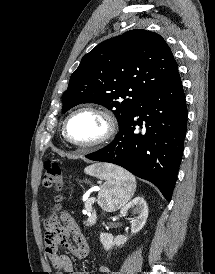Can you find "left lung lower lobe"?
Masks as SVG:
<instances>
[{
    "mask_svg": "<svg viewBox=\"0 0 215 274\" xmlns=\"http://www.w3.org/2000/svg\"><path fill=\"white\" fill-rule=\"evenodd\" d=\"M187 107L177 72L152 91L119 127L114 141L86 155L94 161L119 165L155 184L171 200L182 159Z\"/></svg>",
    "mask_w": 215,
    "mask_h": 274,
    "instance_id": "obj_1",
    "label": "left lung lower lobe"
}]
</instances>
